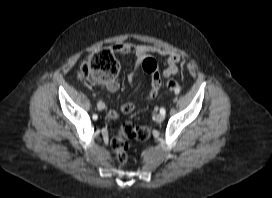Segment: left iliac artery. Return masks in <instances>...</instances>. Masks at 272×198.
<instances>
[{"mask_svg": "<svg viewBox=\"0 0 272 198\" xmlns=\"http://www.w3.org/2000/svg\"><path fill=\"white\" fill-rule=\"evenodd\" d=\"M160 113L163 114V115H165V113H166L165 109H164V108H161V109H160Z\"/></svg>", "mask_w": 272, "mask_h": 198, "instance_id": "44dca946", "label": "left iliac artery"}]
</instances>
